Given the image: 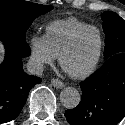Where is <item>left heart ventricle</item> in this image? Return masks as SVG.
<instances>
[{"label": "left heart ventricle", "instance_id": "left-heart-ventricle-1", "mask_svg": "<svg viewBox=\"0 0 125 125\" xmlns=\"http://www.w3.org/2000/svg\"><path fill=\"white\" fill-rule=\"evenodd\" d=\"M99 48V36L95 30L83 32L65 55L63 66L70 73L84 71L94 60Z\"/></svg>", "mask_w": 125, "mask_h": 125}]
</instances>
